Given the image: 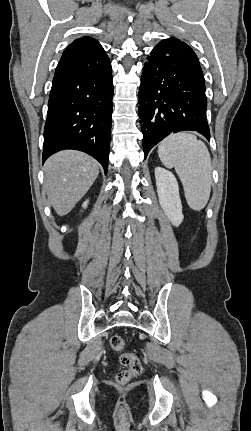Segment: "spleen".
<instances>
[{"mask_svg":"<svg viewBox=\"0 0 251 431\" xmlns=\"http://www.w3.org/2000/svg\"><path fill=\"white\" fill-rule=\"evenodd\" d=\"M158 155L167 168L174 167L190 208L202 210L210 197L211 157L205 143L190 133H177L158 146Z\"/></svg>","mask_w":251,"mask_h":431,"instance_id":"obj_1","label":"spleen"}]
</instances>
